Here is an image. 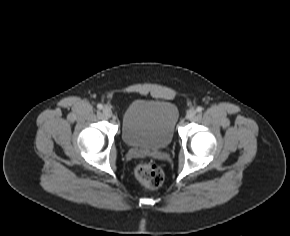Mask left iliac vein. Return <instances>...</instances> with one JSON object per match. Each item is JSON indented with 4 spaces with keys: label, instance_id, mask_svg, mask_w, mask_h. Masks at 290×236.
Returning <instances> with one entry per match:
<instances>
[{
    "label": "left iliac vein",
    "instance_id": "obj_1",
    "mask_svg": "<svg viewBox=\"0 0 290 236\" xmlns=\"http://www.w3.org/2000/svg\"><path fill=\"white\" fill-rule=\"evenodd\" d=\"M196 115V110L195 109H190L188 112H187V115L186 117L188 119H193Z\"/></svg>",
    "mask_w": 290,
    "mask_h": 236
}]
</instances>
